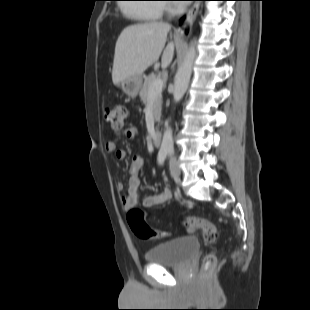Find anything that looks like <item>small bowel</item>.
Returning <instances> with one entry per match:
<instances>
[{"label": "small bowel", "instance_id": "obj_1", "mask_svg": "<svg viewBox=\"0 0 310 310\" xmlns=\"http://www.w3.org/2000/svg\"><path fill=\"white\" fill-rule=\"evenodd\" d=\"M118 134L124 136L128 140H133L138 136L139 130L136 126H129L122 130L117 131ZM106 150L109 153L115 155L118 160H123L125 158V150L120 148L114 142H108L106 144ZM144 165V158L139 155H133L130 161V173L131 176L127 183V191L121 196V203L125 210H130L133 208L139 198V178L138 173ZM119 191L125 188V184L120 181L116 185ZM172 198V192L166 189L160 193L146 195L143 198V206L145 208H151L158 205H163L168 203Z\"/></svg>", "mask_w": 310, "mask_h": 310}]
</instances>
